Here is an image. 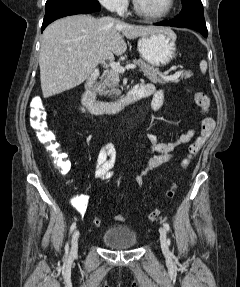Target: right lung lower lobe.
Segmentation results:
<instances>
[{"mask_svg":"<svg viewBox=\"0 0 240 287\" xmlns=\"http://www.w3.org/2000/svg\"><path fill=\"white\" fill-rule=\"evenodd\" d=\"M45 6L46 11L41 28L42 31L56 19L100 11V4L96 0H52L46 2Z\"/></svg>","mask_w":240,"mask_h":287,"instance_id":"right-lung-lower-lobe-1","label":"right lung lower lobe"}]
</instances>
